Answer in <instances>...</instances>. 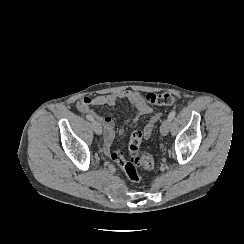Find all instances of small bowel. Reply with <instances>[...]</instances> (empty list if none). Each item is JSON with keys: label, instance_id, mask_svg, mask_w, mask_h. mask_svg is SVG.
Segmentation results:
<instances>
[{"label": "small bowel", "instance_id": "c3829d8e", "mask_svg": "<svg viewBox=\"0 0 244 244\" xmlns=\"http://www.w3.org/2000/svg\"><path fill=\"white\" fill-rule=\"evenodd\" d=\"M138 92L132 90H126L120 93H113V94H105V95H97L95 97L84 96L78 102L77 108L79 112L82 113H89L94 116L97 122H100L103 131H104V150L109 152L113 146L114 139H115V124L112 116L105 115L102 116L95 112L92 109V106H115L117 101L126 100L130 102L134 109H135V118L133 121L135 122L138 117L141 116H149V120L147 121L144 129H143V136L148 138L151 136L152 131L155 125L160 121L161 116L154 111V109L145 104L143 106H137L133 102V97ZM124 132V128L121 127L119 133L122 134Z\"/></svg>", "mask_w": 244, "mask_h": 244}]
</instances>
